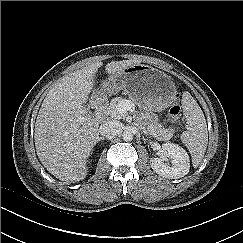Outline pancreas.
Returning <instances> with one entry per match:
<instances>
[{"label": "pancreas", "mask_w": 243, "mask_h": 243, "mask_svg": "<svg viewBox=\"0 0 243 243\" xmlns=\"http://www.w3.org/2000/svg\"><path fill=\"white\" fill-rule=\"evenodd\" d=\"M126 101H127L126 99H123L121 97H116V98L112 99L107 108L108 115H110L111 118H114V119L125 118L126 113H120L117 110V106L119 103H123ZM147 133H149L150 135H152L153 137H155L156 139L161 140V141H167V140L171 139L173 136V132L171 130L162 128V126L158 123L151 124L148 127Z\"/></svg>", "instance_id": "1"}]
</instances>
